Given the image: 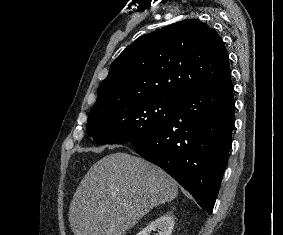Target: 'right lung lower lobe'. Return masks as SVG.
<instances>
[{"instance_id":"obj_1","label":"right lung lower lobe","mask_w":283,"mask_h":235,"mask_svg":"<svg viewBox=\"0 0 283 235\" xmlns=\"http://www.w3.org/2000/svg\"><path fill=\"white\" fill-rule=\"evenodd\" d=\"M234 109L229 77L181 95L163 126L130 144L139 155L171 175L211 214L232 143Z\"/></svg>"}]
</instances>
